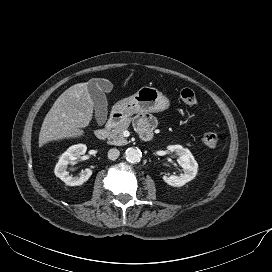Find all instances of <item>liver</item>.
Listing matches in <instances>:
<instances>
[{
	"instance_id": "6515ba94",
	"label": "liver",
	"mask_w": 272,
	"mask_h": 272,
	"mask_svg": "<svg viewBox=\"0 0 272 272\" xmlns=\"http://www.w3.org/2000/svg\"><path fill=\"white\" fill-rule=\"evenodd\" d=\"M94 104L88 83H78L64 91L44 118L39 133V147L51 141L79 138L89 126Z\"/></svg>"
}]
</instances>
